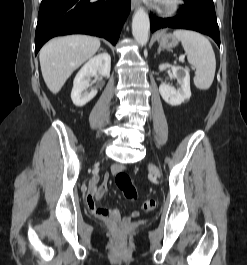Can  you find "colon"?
<instances>
[{
    "mask_svg": "<svg viewBox=\"0 0 247 265\" xmlns=\"http://www.w3.org/2000/svg\"><path fill=\"white\" fill-rule=\"evenodd\" d=\"M116 186L122 191L124 196L128 200L137 199L138 192L134 186L131 177L128 173L120 171L115 177ZM156 208V201L154 199H147L143 203V209L145 211H152Z\"/></svg>",
    "mask_w": 247,
    "mask_h": 265,
    "instance_id": "5ec220e1",
    "label": "colon"
}]
</instances>
